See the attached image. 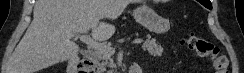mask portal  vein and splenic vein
<instances>
[{
  "instance_id": "portal-vein-and-splenic-vein-1",
  "label": "portal vein and splenic vein",
  "mask_w": 244,
  "mask_h": 73,
  "mask_svg": "<svg viewBox=\"0 0 244 73\" xmlns=\"http://www.w3.org/2000/svg\"><path fill=\"white\" fill-rule=\"evenodd\" d=\"M79 38L83 43L87 44L89 47L93 48L95 51L99 53H115V48L104 45L103 43L98 42L96 39H92L87 32H85V34L83 35H80ZM142 42V39H135L132 43L140 44Z\"/></svg>"
}]
</instances>
